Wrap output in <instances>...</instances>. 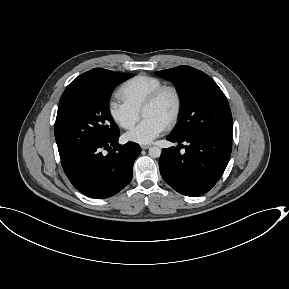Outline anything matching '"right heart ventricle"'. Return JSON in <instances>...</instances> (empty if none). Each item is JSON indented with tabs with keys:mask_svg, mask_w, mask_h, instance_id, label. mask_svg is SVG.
<instances>
[{
	"mask_svg": "<svg viewBox=\"0 0 289 289\" xmlns=\"http://www.w3.org/2000/svg\"><path fill=\"white\" fill-rule=\"evenodd\" d=\"M162 85L161 79L141 74L124 82L117 95L125 104L140 112L147 97Z\"/></svg>",
	"mask_w": 289,
	"mask_h": 289,
	"instance_id": "obj_1",
	"label": "right heart ventricle"
}]
</instances>
